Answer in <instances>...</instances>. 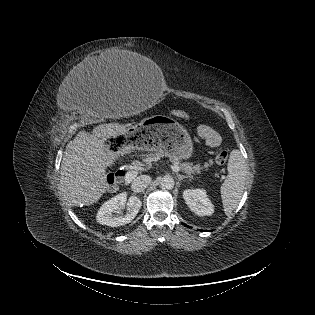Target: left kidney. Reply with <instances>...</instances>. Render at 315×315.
Masks as SVG:
<instances>
[{"mask_svg":"<svg viewBox=\"0 0 315 315\" xmlns=\"http://www.w3.org/2000/svg\"><path fill=\"white\" fill-rule=\"evenodd\" d=\"M183 198L196 215L209 216L214 212V205L207 197L204 189H186L183 192Z\"/></svg>","mask_w":315,"mask_h":315,"instance_id":"obj_1","label":"left kidney"}]
</instances>
